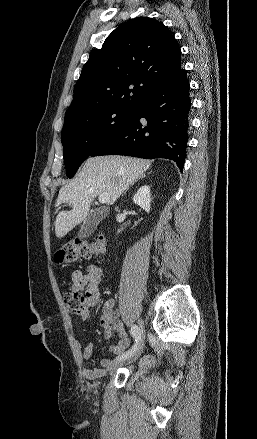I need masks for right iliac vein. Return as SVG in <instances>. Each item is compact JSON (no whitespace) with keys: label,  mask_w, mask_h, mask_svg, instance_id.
I'll return each mask as SVG.
<instances>
[{"label":"right iliac vein","mask_w":257,"mask_h":439,"mask_svg":"<svg viewBox=\"0 0 257 439\" xmlns=\"http://www.w3.org/2000/svg\"><path fill=\"white\" fill-rule=\"evenodd\" d=\"M140 324L142 325V321H140ZM142 348H143V339L140 340V342H139V344L137 346V350L131 356H129L128 359L127 358L126 359L129 362H133V361L137 360L138 357L141 354ZM126 359H120V358L117 359L116 361L113 362V364L110 367V369H114V368L122 365L126 361Z\"/></svg>","instance_id":"right-iliac-vein-1"}]
</instances>
